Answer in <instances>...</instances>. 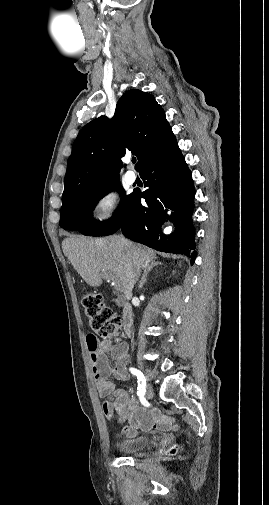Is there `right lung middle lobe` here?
<instances>
[{"instance_id":"1","label":"right lung middle lobe","mask_w":269,"mask_h":505,"mask_svg":"<svg viewBox=\"0 0 269 505\" xmlns=\"http://www.w3.org/2000/svg\"><path fill=\"white\" fill-rule=\"evenodd\" d=\"M114 189H120L122 203L116 215L104 222L92 220V210L98 201ZM132 194L125 196L119 180L110 182L102 187L85 190L65 200L61 207L60 227L67 230L79 231L88 236H106L113 234L119 228L125 207Z\"/></svg>"}]
</instances>
